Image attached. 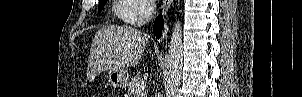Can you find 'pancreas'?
Returning a JSON list of instances; mask_svg holds the SVG:
<instances>
[{
    "instance_id": "cf45deb5",
    "label": "pancreas",
    "mask_w": 302,
    "mask_h": 97,
    "mask_svg": "<svg viewBox=\"0 0 302 97\" xmlns=\"http://www.w3.org/2000/svg\"><path fill=\"white\" fill-rule=\"evenodd\" d=\"M141 81V78L139 76L132 77L128 83L127 91L130 97L136 96V84ZM141 97H146L144 92L139 93Z\"/></svg>"
}]
</instances>
